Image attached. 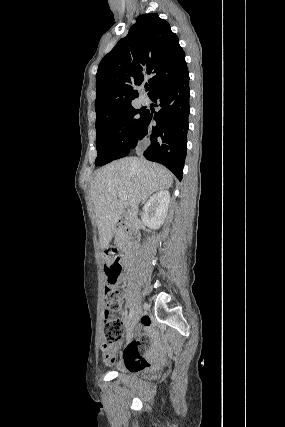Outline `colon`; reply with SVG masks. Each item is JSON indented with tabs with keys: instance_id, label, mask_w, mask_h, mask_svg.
I'll return each instance as SVG.
<instances>
[{
	"instance_id": "obj_1",
	"label": "colon",
	"mask_w": 285,
	"mask_h": 427,
	"mask_svg": "<svg viewBox=\"0 0 285 427\" xmlns=\"http://www.w3.org/2000/svg\"><path fill=\"white\" fill-rule=\"evenodd\" d=\"M104 272L110 287L105 290L106 316L103 320L102 351L107 363H113L121 349L126 350L128 345L122 341L125 323L115 314L118 312L122 301V291L116 287L123 272L122 259L106 252L104 255Z\"/></svg>"
}]
</instances>
